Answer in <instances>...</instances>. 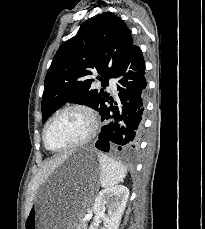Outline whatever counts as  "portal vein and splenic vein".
Returning a JSON list of instances; mask_svg holds the SVG:
<instances>
[{
	"instance_id": "1",
	"label": "portal vein and splenic vein",
	"mask_w": 205,
	"mask_h": 229,
	"mask_svg": "<svg viewBox=\"0 0 205 229\" xmlns=\"http://www.w3.org/2000/svg\"><path fill=\"white\" fill-rule=\"evenodd\" d=\"M88 218H89V215H86V216H85V219H88Z\"/></svg>"
}]
</instances>
